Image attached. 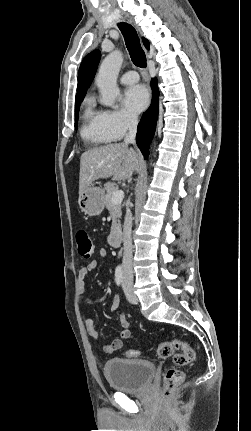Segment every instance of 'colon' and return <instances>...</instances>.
<instances>
[{"instance_id": "1", "label": "colon", "mask_w": 251, "mask_h": 431, "mask_svg": "<svg viewBox=\"0 0 251 431\" xmlns=\"http://www.w3.org/2000/svg\"><path fill=\"white\" fill-rule=\"evenodd\" d=\"M76 242L78 252L83 258H90L94 251V245L89 233L84 229H79L76 232ZM175 351H179L174 354ZM157 354L161 358H168L173 356V363L175 366L168 367L163 375L165 397H169L172 391L180 385L184 380V373L178 367L190 364L195 359V351L187 341L175 338L170 341H165L158 345ZM139 351L129 349L125 352L128 358L137 357Z\"/></svg>"}]
</instances>
